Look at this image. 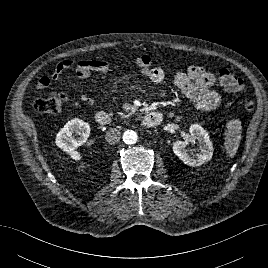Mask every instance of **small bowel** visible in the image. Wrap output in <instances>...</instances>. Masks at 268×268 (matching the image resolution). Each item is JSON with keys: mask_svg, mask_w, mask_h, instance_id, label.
<instances>
[{"mask_svg": "<svg viewBox=\"0 0 268 268\" xmlns=\"http://www.w3.org/2000/svg\"><path fill=\"white\" fill-rule=\"evenodd\" d=\"M136 67L141 76L153 83H161L166 73L161 67L152 66V58L148 54L137 56ZM111 64L105 58L75 59L67 58L59 62L50 77H41L35 91L40 92L46 89L51 81L59 79L63 73L71 71L78 79H87L94 72L106 73L110 70ZM176 87L192 101L196 108L203 111L212 110L219 102V95L213 89L214 76L200 66H189L186 71H177L173 76ZM83 102L92 105L94 98L90 95L81 96Z\"/></svg>", "mask_w": 268, "mask_h": 268, "instance_id": "small-bowel-1", "label": "small bowel"}]
</instances>
